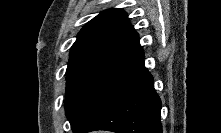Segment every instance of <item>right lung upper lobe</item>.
I'll return each instance as SVG.
<instances>
[{
    "label": "right lung upper lobe",
    "mask_w": 221,
    "mask_h": 133,
    "mask_svg": "<svg viewBox=\"0 0 221 133\" xmlns=\"http://www.w3.org/2000/svg\"><path fill=\"white\" fill-rule=\"evenodd\" d=\"M143 53L139 36L122 9H109L89 21L70 50L68 72H105Z\"/></svg>",
    "instance_id": "cb5924a9"
}]
</instances>
